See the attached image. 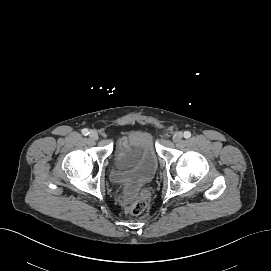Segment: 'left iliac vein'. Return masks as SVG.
I'll return each mask as SVG.
<instances>
[{
  "label": "left iliac vein",
  "instance_id": "4c4485c4",
  "mask_svg": "<svg viewBox=\"0 0 271 271\" xmlns=\"http://www.w3.org/2000/svg\"><path fill=\"white\" fill-rule=\"evenodd\" d=\"M182 138H183V133L182 132H176L174 135H173V141L175 142V143H177V142H180L181 140H182Z\"/></svg>",
  "mask_w": 271,
  "mask_h": 271
}]
</instances>
